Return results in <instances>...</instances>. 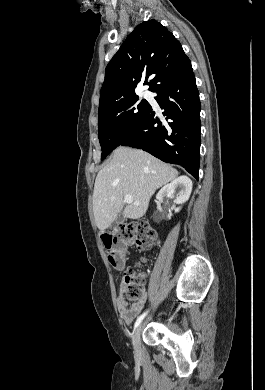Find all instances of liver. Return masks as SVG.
Returning a JSON list of instances; mask_svg holds the SVG:
<instances>
[{"label":"liver","mask_w":265,"mask_h":390,"mask_svg":"<svg viewBox=\"0 0 265 390\" xmlns=\"http://www.w3.org/2000/svg\"><path fill=\"white\" fill-rule=\"evenodd\" d=\"M178 171L143 150L120 146L97 174L93 192V213L100 231L106 230L130 195L139 205L128 204L124 215L139 219L145 215L151 196L178 176Z\"/></svg>","instance_id":"6515ba94"}]
</instances>
